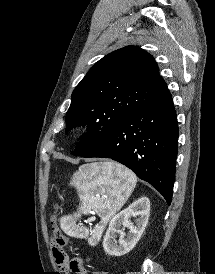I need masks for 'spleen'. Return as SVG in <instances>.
<instances>
[{"label":"spleen","instance_id":"3e777b00","mask_svg":"<svg viewBox=\"0 0 215 274\" xmlns=\"http://www.w3.org/2000/svg\"><path fill=\"white\" fill-rule=\"evenodd\" d=\"M137 182L135 174L129 169L111 162L92 163L79 167L70 185L74 186L81 201L80 212L94 210L101 218L94 229L80 228L71 217L60 221L62 230L71 236L87 237L89 241L98 240L104 225L125 204Z\"/></svg>","mask_w":215,"mask_h":274}]
</instances>
